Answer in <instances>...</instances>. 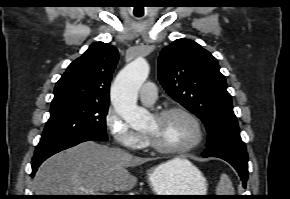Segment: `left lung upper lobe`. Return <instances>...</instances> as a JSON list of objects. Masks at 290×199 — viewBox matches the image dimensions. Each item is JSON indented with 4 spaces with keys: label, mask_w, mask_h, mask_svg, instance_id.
I'll return each instance as SVG.
<instances>
[{
    "label": "left lung upper lobe",
    "mask_w": 290,
    "mask_h": 199,
    "mask_svg": "<svg viewBox=\"0 0 290 199\" xmlns=\"http://www.w3.org/2000/svg\"><path fill=\"white\" fill-rule=\"evenodd\" d=\"M207 50L188 39L165 47L159 57V80L166 92L205 123L208 147L241 140L224 75Z\"/></svg>",
    "instance_id": "5c2ea615"
}]
</instances>
